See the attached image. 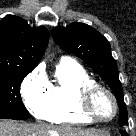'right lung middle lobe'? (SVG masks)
I'll return each instance as SVG.
<instances>
[{
  "mask_svg": "<svg viewBox=\"0 0 136 136\" xmlns=\"http://www.w3.org/2000/svg\"><path fill=\"white\" fill-rule=\"evenodd\" d=\"M29 73L0 71V118L23 120L29 117L20 97V85Z\"/></svg>",
  "mask_w": 136,
  "mask_h": 136,
  "instance_id": "right-lung-middle-lobe-1",
  "label": "right lung middle lobe"
}]
</instances>
